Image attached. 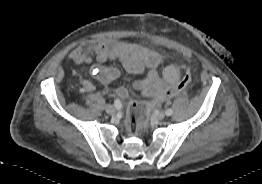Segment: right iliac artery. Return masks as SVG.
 <instances>
[{
	"mask_svg": "<svg viewBox=\"0 0 262 184\" xmlns=\"http://www.w3.org/2000/svg\"><path fill=\"white\" fill-rule=\"evenodd\" d=\"M114 106L117 110L121 108L122 105L119 99H115Z\"/></svg>",
	"mask_w": 262,
	"mask_h": 184,
	"instance_id": "1",
	"label": "right iliac artery"
}]
</instances>
